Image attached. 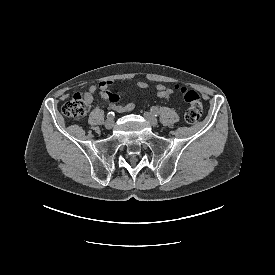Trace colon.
Instances as JSON below:
<instances>
[{"label":"colon","mask_w":275,"mask_h":275,"mask_svg":"<svg viewBox=\"0 0 275 275\" xmlns=\"http://www.w3.org/2000/svg\"><path fill=\"white\" fill-rule=\"evenodd\" d=\"M174 89L183 97L187 104L185 111V120L188 123H194L199 120L202 115L203 108L198 93L186 86L176 84ZM90 100L82 94H75L71 99L66 101L62 107L65 116L80 120L83 118L90 108Z\"/></svg>","instance_id":"colon-1"}]
</instances>
